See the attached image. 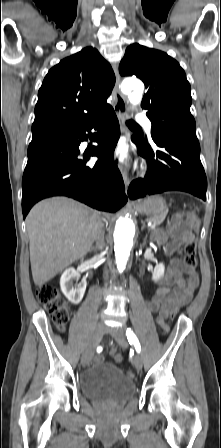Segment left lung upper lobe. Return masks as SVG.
<instances>
[{
  "label": "left lung upper lobe",
  "instance_id": "left-lung-upper-lobe-1",
  "mask_svg": "<svg viewBox=\"0 0 221 448\" xmlns=\"http://www.w3.org/2000/svg\"><path fill=\"white\" fill-rule=\"evenodd\" d=\"M119 71L122 76L134 75L144 82L147 92L141 106L152 123V135L198 141L190 113V84L176 60L135 43L126 49Z\"/></svg>",
  "mask_w": 221,
  "mask_h": 448
}]
</instances>
